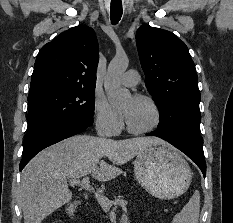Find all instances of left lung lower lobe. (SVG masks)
<instances>
[{
  "label": "left lung lower lobe",
  "instance_id": "left-lung-lower-lobe-1",
  "mask_svg": "<svg viewBox=\"0 0 233 223\" xmlns=\"http://www.w3.org/2000/svg\"><path fill=\"white\" fill-rule=\"evenodd\" d=\"M146 135L162 138L181 150L197 164L205 177L206 162L203 152V139L201 136L185 133H165L158 130L147 133Z\"/></svg>",
  "mask_w": 233,
  "mask_h": 223
}]
</instances>
